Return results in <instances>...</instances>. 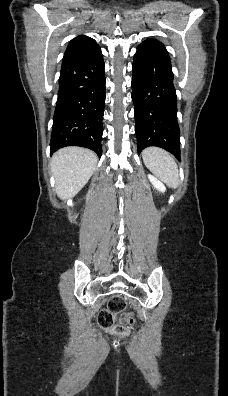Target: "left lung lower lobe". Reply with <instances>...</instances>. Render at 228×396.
Masks as SVG:
<instances>
[{
	"mask_svg": "<svg viewBox=\"0 0 228 396\" xmlns=\"http://www.w3.org/2000/svg\"><path fill=\"white\" fill-rule=\"evenodd\" d=\"M132 71L138 152L157 146L180 159L177 96L165 46L155 39L141 43L134 55Z\"/></svg>",
	"mask_w": 228,
	"mask_h": 396,
	"instance_id": "obj_1",
	"label": "left lung lower lobe"
}]
</instances>
